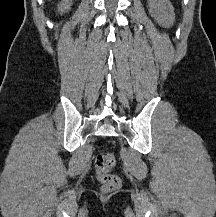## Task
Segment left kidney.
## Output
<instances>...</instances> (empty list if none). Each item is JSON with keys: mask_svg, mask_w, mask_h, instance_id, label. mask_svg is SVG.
<instances>
[{"mask_svg": "<svg viewBox=\"0 0 216 217\" xmlns=\"http://www.w3.org/2000/svg\"><path fill=\"white\" fill-rule=\"evenodd\" d=\"M149 13L158 23L169 27L175 19L174 9L169 0H149Z\"/></svg>", "mask_w": 216, "mask_h": 217, "instance_id": "5707ae66", "label": "left kidney"}]
</instances>
